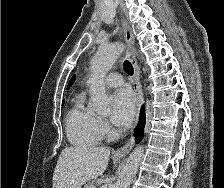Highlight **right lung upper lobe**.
Instances as JSON below:
<instances>
[{"instance_id":"1","label":"right lung upper lobe","mask_w":224,"mask_h":188,"mask_svg":"<svg viewBox=\"0 0 224 188\" xmlns=\"http://www.w3.org/2000/svg\"><path fill=\"white\" fill-rule=\"evenodd\" d=\"M74 80H75V77H72V79L69 82L68 88L72 85V83L74 82Z\"/></svg>"}]
</instances>
